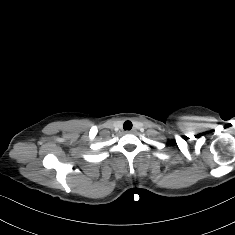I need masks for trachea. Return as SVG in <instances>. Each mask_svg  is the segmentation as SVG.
<instances>
[{
    "instance_id": "trachea-1",
    "label": "trachea",
    "mask_w": 235,
    "mask_h": 235,
    "mask_svg": "<svg viewBox=\"0 0 235 235\" xmlns=\"http://www.w3.org/2000/svg\"><path fill=\"white\" fill-rule=\"evenodd\" d=\"M124 130H131L132 123L130 121H126L123 125Z\"/></svg>"
}]
</instances>
